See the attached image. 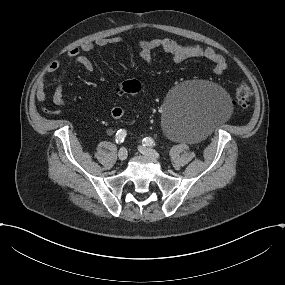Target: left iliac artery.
I'll return each mask as SVG.
<instances>
[{
    "label": "left iliac artery",
    "mask_w": 285,
    "mask_h": 285,
    "mask_svg": "<svg viewBox=\"0 0 285 285\" xmlns=\"http://www.w3.org/2000/svg\"><path fill=\"white\" fill-rule=\"evenodd\" d=\"M144 141V146H156V143L154 142V140L151 137H146L143 139Z\"/></svg>",
    "instance_id": "left-iliac-artery-1"
}]
</instances>
